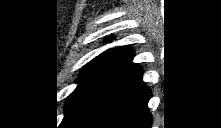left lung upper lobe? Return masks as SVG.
I'll return each instance as SVG.
<instances>
[{
    "mask_svg": "<svg viewBox=\"0 0 221 128\" xmlns=\"http://www.w3.org/2000/svg\"><path fill=\"white\" fill-rule=\"evenodd\" d=\"M133 49L119 46L108 49L81 71L77 88L68 96L60 127L95 103L138 65L131 62Z\"/></svg>",
    "mask_w": 221,
    "mask_h": 128,
    "instance_id": "left-lung-upper-lobe-1",
    "label": "left lung upper lobe"
}]
</instances>
